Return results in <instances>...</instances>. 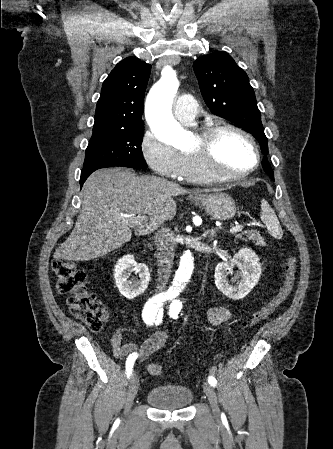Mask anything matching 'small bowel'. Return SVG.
Masks as SVG:
<instances>
[{
    "mask_svg": "<svg viewBox=\"0 0 333 449\" xmlns=\"http://www.w3.org/2000/svg\"><path fill=\"white\" fill-rule=\"evenodd\" d=\"M230 317V310L225 306H214L208 311V319L213 324L222 323ZM134 332L133 328H118L110 336V345L115 357L123 358L132 353H137L140 358H145L163 350L168 343L167 333L155 332L141 344L126 340L124 335Z\"/></svg>",
    "mask_w": 333,
    "mask_h": 449,
    "instance_id": "small-bowel-1",
    "label": "small bowel"
}]
</instances>
